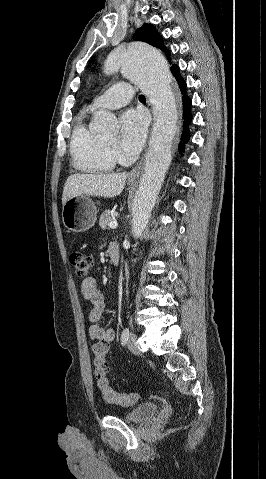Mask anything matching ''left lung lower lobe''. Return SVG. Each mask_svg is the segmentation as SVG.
I'll return each mask as SVG.
<instances>
[{
    "mask_svg": "<svg viewBox=\"0 0 266 479\" xmlns=\"http://www.w3.org/2000/svg\"><path fill=\"white\" fill-rule=\"evenodd\" d=\"M171 71H172L173 75L175 76V78L177 79L178 84H179L180 89H181V92L184 95L183 96L184 131H183L182 137H181L182 142L179 144V150L183 151L184 143H187V141L190 138L188 125L192 120V116H191V112H190L191 99L186 95V82L180 76L178 66H174L173 68H171Z\"/></svg>",
    "mask_w": 266,
    "mask_h": 479,
    "instance_id": "left-lung-lower-lobe-1",
    "label": "left lung lower lobe"
}]
</instances>
